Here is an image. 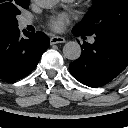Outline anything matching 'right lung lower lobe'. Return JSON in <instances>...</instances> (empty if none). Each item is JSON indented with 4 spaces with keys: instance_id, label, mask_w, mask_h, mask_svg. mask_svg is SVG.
<instances>
[{
    "instance_id": "right-lung-lower-lobe-1",
    "label": "right lung lower lobe",
    "mask_w": 128,
    "mask_h": 128,
    "mask_svg": "<svg viewBox=\"0 0 128 128\" xmlns=\"http://www.w3.org/2000/svg\"><path fill=\"white\" fill-rule=\"evenodd\" d=\"M19 29L0 34V78L12 82L30 74L37 66L42 54L49 47V38L42 32Z\"/></svg>"
}]
</instances>
